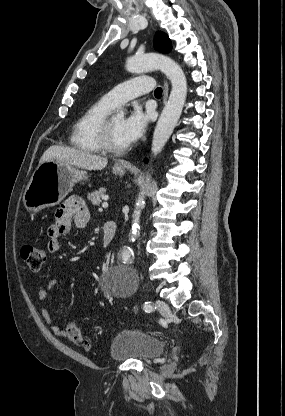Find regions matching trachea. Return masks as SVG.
<instances>
[{
  "label": "trachea",
  "mask_w": 285,
  "mask_h": 416,
  "mask_svg": "<svg viewBox=\"0 0 285 416\" xmlns=\"http://www.w3.org/2000/svg\"><path fill=\"white\" fill-rule=\"evenodd\" d=\"M162 92H163L162 88L158 87V88L155 89L154 95L156 97H161L162 96Z\"/></svg>",
  "instance_id": "trachea-1"
}]
</instances>
